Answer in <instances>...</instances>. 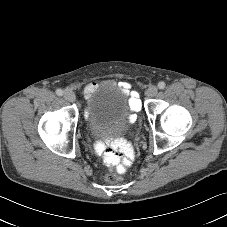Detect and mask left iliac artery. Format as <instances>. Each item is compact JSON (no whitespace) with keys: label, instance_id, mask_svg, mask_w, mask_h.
I'll list each match as a JSON object with an SVG mask.
<instances>
[{"label":"left iliac artery","instance_id":"44dca946","mask_svg":"<svg viewBox=\"0 0 227 227\" xmlns=\"http://www.w3.org/2000/svg\"><path fill=\"white\" fill-rule=\"evenodd\" d=\"M165 86H166V84H165V82H163V81H161V82L158 83V88H159V89H164Z\"/></svg>","mask_w":227,"mask_h":227}]
</instances>
